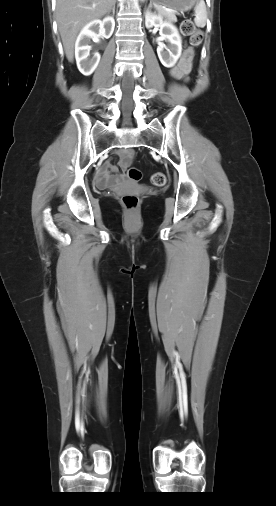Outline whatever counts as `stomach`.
Masks as SVG:
<instances>
[{
    "mask_svg": "<svg viewBox=\"0 0 276 506\" xmlns=\"http://www.w3.org/2000/svg\"><path fill=\"white\" fill-rule=\"evenodd\" d=\"M153 4L158 7H167L169 9L186 12L190 10L197 0H152Z\"/></svg>",
    "mask_w": 276,
    "mask_h": 506,
    "instance_id": "1",
    "label": "stomach"
}]
</instances>
